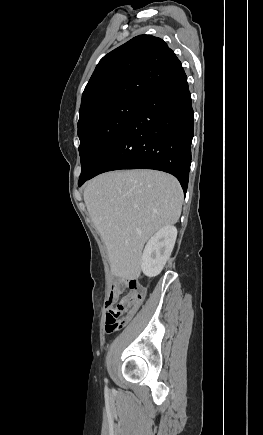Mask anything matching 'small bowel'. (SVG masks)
Returning a JSON list of instances; mask_svg holds the SVG:
<instances>
[{"label":"small bowel","mask_w":263,"mask_h":435,"mask_svg":"<svg viewBox=\"0 0 263 435\" xmlns=\"http://www.w3.org/2000/svg\"><path fill=\"white\" fill-rule=\"evenodd\" d=\"M119 294H120V293H119L118 290L113 289V291H112V293H111L109 299H108L107 302H106V308H107V311L109 310V308H111V307L116 303Z\"/></svg>","instance_id":"obj_1"}]
</instances>
